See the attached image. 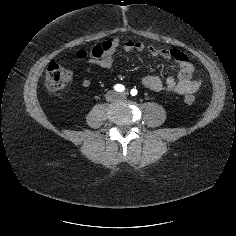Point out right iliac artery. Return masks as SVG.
Instances as JSON below:
<instances>
[{"instance_id": "82829eb1", "label": "right iliac artery", "mask_w": 236, "mask_h": 236, "mask_svg": "<svg viewBox=\"0 0 236 236\" xmlns=\"http://www.w3.org/2000/svg\"><path fill=\"white\" fill-rule=\"evenodd\" d=\"M114 89L117 91V92H123L125 90V87L124 85L122 84H117L114 86Z\"/></svg>"}]
</instances>
